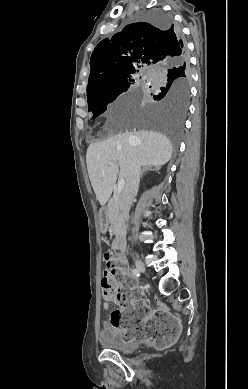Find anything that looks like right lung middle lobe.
Wrapping results in <instances>:
<instances>
[{
	"label": "right lung middle lobe",
	"instance_id": "dd1d6c3e",
	"mask_svg": "<svg viewBox=\"0 0 248 389\" xmlns=\"http://www.w3.org/2000/svg\"><path fill=\"white\" fill-rule=\"evenodd\" d=\"M140 18L159 28L173 25L172 17L161 10H150L142 13ZM155 77L157 89L154 100L158 103L152 109L134 106L131 116L140 125L156 129L168 136L176 147L180 139V130L187 113L190 95V69L185 60H171L158 67ZM132 74L116 79L108 87L93 92L88 97V110L95 115L103 113L106 105L114 101L131 85Z\"/></svg>",
	"mask_w": 248,
	"mask_h": 389
}]
</instances>
